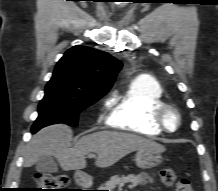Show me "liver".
Returning <instances> with one entry per match:
<instances>
[{
    "label": "liver",
    "mask_w": 218,
    "mask_h": 191,
    "mask_svg": "<svg viewBox=\"0 0 218 191\" xmlns=\"http://www.w3.org/2000/svg\"><path fill=\"white\" fill-rule=\"evenodd\" d=\"M72 136V130L64 124L43 128L26 148L24 167H31L40 157L49 155L55 157L65 171L80 170L86 167L85 156L95 153V165L106 168L133 151H165L162 145L152 140L124 132H94L83 136L74 146H71Z\"/></svg>",
    "instance_id": "6515ba94"
}]
</instances>
